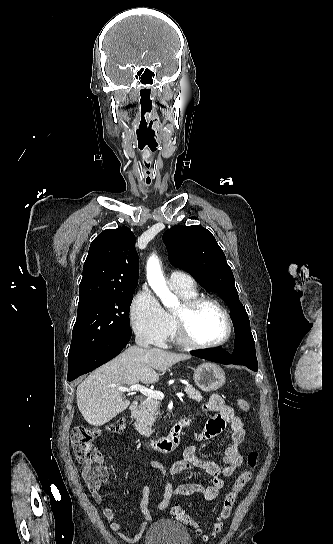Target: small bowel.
Segmentation results:
<instances>
[{
	"label": "small bowel",
	"instance_id": "1",
	"mask_svg": "<svg viewBox=\"0 0 333 544\" xmlns=\"http://www.w3.org/2000/svg\"><path fill=\"white\" fill-rule=\"evenodd\" d=\"M203 410L211 412L213 415L207 421L205 427L194 433V438L197 442H205L229 429L230 442L223 456L224 467H220L217 463L211 460L202 458L198 453V447L195 444L189 445L183 452V457L170 465H164L157 460H151L149 466L152 469L159 471L164 478L162 499L157 504L158 510L166 509L171 500L175 497H187L195 494H200L207 501L215 500L219 492L224 487V479L231 477L237 468L243 464V456L240 454L239 448L245 439V428L242 420L237 416L233 408L227 405L219 394H212L208 401L203 404ZM191 421L185 419V428H191ZM200 468L212 477L211 484L204 486L200 483H184L174 486L170 481V476L182 474ZM150 488L147 485L142 487V499L140 501V509L143 521L139 525L137 533L133 535L126 534L122 531V525L117 521L112 509L104 507L102 514L106 521L110 524V528L118 533L123 540L129 543H135L140 540L148 523L152 519V509L149 507ZM91 495L97 504L102 503V495L97 490H91Z\"/></svg>",
	"mask_w": 333,
	"mask_h": 544
}]
</instances>
